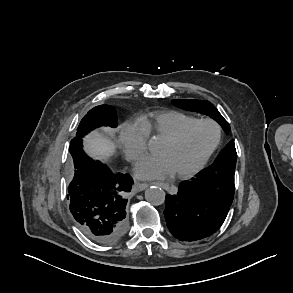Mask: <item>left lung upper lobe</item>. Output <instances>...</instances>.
<instances>
[{
  "instance_id": "left-lung-upper-lobe-1",
  "label": "left lung upper lobe",
  "mask_w": 293,
  "mask_h": 293,
  "mask_svg": "<svg viewBox=\"0 0 293 293\" xmlns=\"http://www.w3.org/2000/svg\"><path fill=\"white\" fill-rule=\"evenodd\" d=\"M173 104L182 109L196 111L209 115L215 119L222 128L228 132L230 131V126L228 122L223 118L219 111L210 103L205 100H173ZM237 160V153L235 149L234 141H230L226 147L220 152V154L215 159L214 163L205 170L206 173H225L232 172L235 173Z\"/></svg>"
}]
</instances>
